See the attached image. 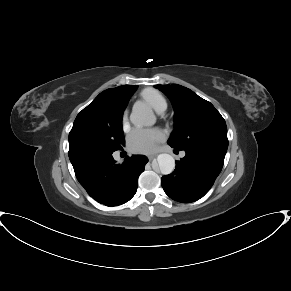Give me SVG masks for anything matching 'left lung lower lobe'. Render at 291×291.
Listing matches in <instances>:
<instances>
[{
	"label": "left lung lower lobe",
	"instance_id": "obj_1",
	"mask_svg": "<svg viewBox=\"0 0 291 291\" xmlns=\"http://www.w3.org/2000/svg\"><path fill=\"white\" fill-rule=\"evenodd\" d=\"M176 161L175 170L161 179L165 193L178 202L190 203L202 198L219 175L227 148L193 146Z\"/></svg>",
	"mask_w": 291,
	"mask_h": 291
}]
</instances>
